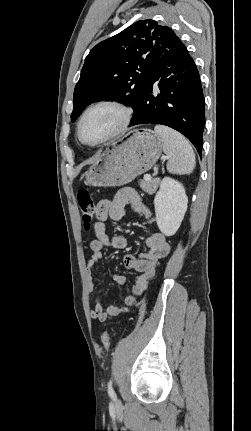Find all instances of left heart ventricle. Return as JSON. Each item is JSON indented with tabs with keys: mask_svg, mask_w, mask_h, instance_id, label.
I'll use <instances>...</instances> for the list:
<instances>
[{
	"mask_svg": "<svg viewBox=\"0 0 251 431\" xmlns=\"http://www.w3.org/2000/svg\"><path fill=\"white\" fill-rule=\"evenodd\" d=\"M120 112L112 107H100L87 114L81 133L85 141L95 143L109 135L119 124Z\"/></svg>",
	"mask_w": 251,
	"mask_h": 431,
	"instance_id": "b2bd125f",
	"label": "left heart ventricle"
}]
</instances>
